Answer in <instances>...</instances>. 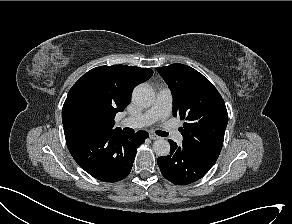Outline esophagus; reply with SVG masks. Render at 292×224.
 <instances>
[{
  "label": "esophagus",
  "instance_id": "obj_1",
  "mask_svg": "<svg viewBox=\"0 0 292 224\" xmlns=\"http://www.w3.org/2000/svg\"><path fill=\"white\" fill-rule=\"evenodd\" d=\"M149 137H150L151 140H157V139L160 138L159 136H157V135H155L153 133H151Z\"/></svg>",
  "mask_w": 292,
  "mask_h": 224
}]
</instances>
